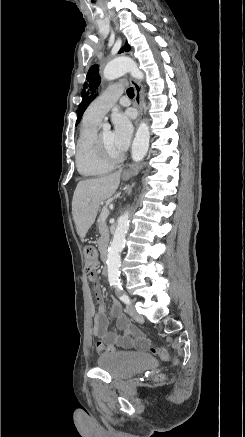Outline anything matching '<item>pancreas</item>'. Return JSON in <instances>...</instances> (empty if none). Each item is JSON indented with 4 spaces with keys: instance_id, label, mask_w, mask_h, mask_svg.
I'll use <instances>...</instances> for the list:
<instances>
[{
    "instance_id": "cf45deb5",
    "label": "pancreas",
    "mask_w": 245,
    "mask_h": 437,
    "mask_svg": "<svg viewBox=\"0 0 245 437\" xmlns=\"http://www.w3.org/2000/svg\"><path fill=\"white\" fill-rule=\"evenodd\" d=\"M106 208V207H104ZM98 218V229H99V233L101 235V237L98 240V246H99V250L106 248V246L108 245L109 242V230H108V226L106 225L105 219L102 216L103 210Z\"/></svg>"
}]
</instances>
